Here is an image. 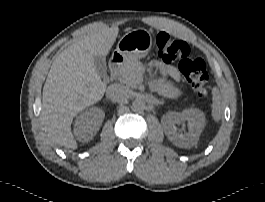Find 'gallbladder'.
I'll return each mask as SVG.
<instances>
[{
  "instance_id": "obj_1",
  "label": "gallbladder",
  "mask_w": 265,
  "mask_h": 202,
  "mask_svg": "<svg viewBox=\"0 0 265 202\" xmlns=\"http://www.w3.org/2000/svg\"><path fill=\"white\" fill-rule=\"evenodd\" d=\"M94 64L96 71L100 76H105L107 72L106 59L100 55L94 56Z\"/></svg>"
}]
</instances>
